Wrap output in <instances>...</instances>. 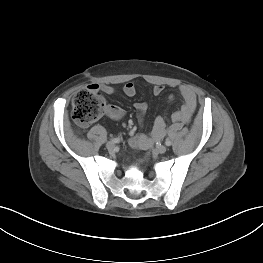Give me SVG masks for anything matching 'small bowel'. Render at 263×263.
I'll use <instances>...</instances> for the list:
<instances>
[{
	"instance_id": "1",
	"label": "small bowel",
	"mask_w": 263,
	"mask_h": 263,
	"mask_svg": "<svg viewBox=\"0 0 263 263\" xmlns=\"http://www.w3.org/2000/svg\"><path fill=\"white\" fill-rule=\"evenodd\" d=\"M97 90H101L105 94L111 95L114 93V88L110 85H97L94 84L91 86ZM164 86L163 85H155L153 88V94L155 96H159L163 93ZM123 92L128 97H133L136 94V86L133 82H128L123 87ZM180 96L182 97L183 104L181 108L174 112L172 115V120L175 122H188L197 105L196 95L187 86H181L179 88ZM172 98V97H171ZM134 108L137 112L138 118L142 121L144 114L147 110V104L145 102H137L134 104ZM107 116L112 120H119L123 117L124 111L119 106L116 105H108L106 109ZM166 129L165 120L163 117H157L154 123V127L151 133L152 138H159L161 137ZM149 143V137L145 134H133L129 139V145L133 148H140L143 149L147 147Z\"/></svg>"
}]
</instances>
